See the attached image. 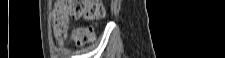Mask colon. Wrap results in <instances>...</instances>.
I'll list each match as a JSON object with an SVG mask.
<instances>
[{
    "label": "colon",
    "mask_w": 225,
    "mask_h": 58,
    "mask_svg": "<svg viewBox=\"0 0 225 58\" xmlns=\"http://www.w3.org/2000/svg\"><path fill=\"white\" fill-rule=\"evenodd\" d=\"M106 9L102 0H60L52 13L53 32L55 39L61 43L68 33L70 18H85L98 21L104 18ZM92 28L86 27L74 32L76 41L81 44L92 39Z\"/></svg>",
    "instance_id": "colon-1"
}]
</instances>
